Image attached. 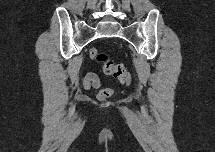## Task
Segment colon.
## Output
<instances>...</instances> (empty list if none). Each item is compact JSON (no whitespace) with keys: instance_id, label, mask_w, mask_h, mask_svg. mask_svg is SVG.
Masks as SVG:
<instances>
[{"instance_id":"5ec220e1","label":"colon","mask_w":215,"mask_h":152,"mask_svg":"<svg viewBox=\"0 0 215 152\" xmlns=\"http://www.w3.org/2000/svg\"><path fill=\"white\" fill-rule=\"evenodd\" d=\"M89 55L92 59L102 64L103 71L106 74L113 76L125 85L130 84L131 75L123 64L114 63L108 54L98 52L95 48L90 49ZM112 94L113 90L109 87H105L98 92V98L100 100H105Z\"/></svg>"}]
</instances>
